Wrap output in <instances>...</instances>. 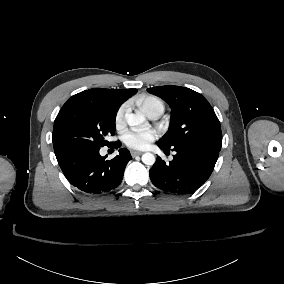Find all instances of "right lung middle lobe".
I'll list each match as a JSON object with an SVG mask.
<instances>
[{"label": "right lung middle lobe", "mask_w": 284, "mask_h": 284, "mask_svg": "<svg viewBox=\"0 0 284 284\" xmlns=\"http://www.w3.org/2000/svg\"><path fill=\"white\" fill-rule=\"evenodd\" d=\"M116 114L117 110L96 98L73 95L54 121L52 140L56 156L76 149L108 145L105 137L115 132Z\"/></svg>", "instance_id": "obj_1"}]
</instances>
